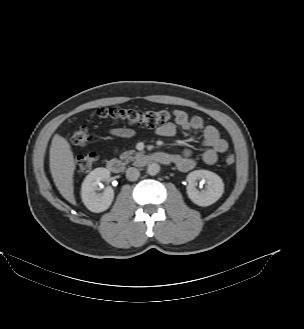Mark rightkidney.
Masks as SVG:
<instances>
[{"label":"right kidney","mask_w":304,"mask_h":329,"mask_svg":"<svg viewBox=\"0 0 304 329\" xmlns=\"http://www.w3.org/2000/svg\"><path fill=\"white\" fill-rule=\"evenodd\" d=\"M110 171L99 167L91 171L84 179L81 187V198L91 212L99 213L107 210L114 199V191L106 187L103 192H97L101 181H108Z\"/></svg>","instance_id":"1"}]
</instances>
